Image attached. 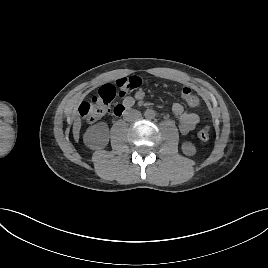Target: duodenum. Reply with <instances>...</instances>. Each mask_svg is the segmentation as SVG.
<instances>
[{"instance_id":"duodenum-1","label":"duodenum","mask_w":268,"mask_h":268,"mask_svg":"<svg viewBox=\"0 0 268 268\" xmlns=\"http://www.w3.org/2000/svg\"><path fill=\"white\" fill-rule=\"evenodd\" d=\"M128 110H129V107H126L124 105H119L113 110V113L115 116H121L124 113L128 112Z\"/></svg>"}]
</instances>
